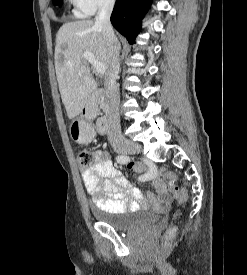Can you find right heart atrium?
<instances>
[{
  "label": "right heart atrium",
  "instance_id": "right-heart-atrium-1",
  "mask_svg": "<svg viewBox=\"0 0 247 275\" xmlns=\"http://www.w3.org/2000/svg\"><path fill=\"white\" fill-rule=\"evenodd\" d=\"M74 13L79 17H87L98 10L111 8L115 0H72Z\"/></svg>",
  "mask_w": 247,
  "mask_h": 275
}]
</instances>
